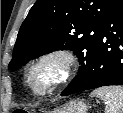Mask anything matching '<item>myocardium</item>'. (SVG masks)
<instances>
[{
    "label": "myocardium",
    "instance_id": "myocardium-1",
    "mask_svg": "<svg viewBox=\"0 0 123 113\" xmlns=\"http://www.w3.org/2000/svg\"><path fill=\"white\" fill-rule=\"evenodd\" d=\"M77 64V55L68 48L44 51L27 66L24 73V82L32 94L45 96L68 82L74 76ZM47 67L52 71L51 77L42 88H38L34 83V78L37 73Z\"/></svg>",
    "mask_w": 123,
    "mask_h": 113
}]
</instances>
